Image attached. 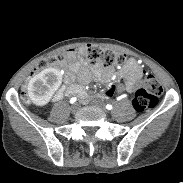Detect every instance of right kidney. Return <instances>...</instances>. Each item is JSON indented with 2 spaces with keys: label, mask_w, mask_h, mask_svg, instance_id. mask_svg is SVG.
Wrapping results in <instances>:
<instances>
[{
  "label": "right kidney",
  "mask_w": 183,
  "mask_h": 183,
  "mask_svg": "<svg viewBox=\"0 0 183 183\" xmlns=\"http://www.w3.org/2000/svg\"><path fill=\"white\" fill-rule=\"evenodd\" d=\"M61 83V74L55 68H47L31 78L28 83V95L33 104L46 105Z\"/></svg>",
  "instance_id": "right-kidney-1"
}]
</instances>
